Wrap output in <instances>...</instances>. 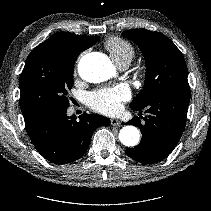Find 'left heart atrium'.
I'll return each mask as SVG.
<instances>
[{"instance_id":"left-heart-atrium-1","label":"left heart atrium","mask_w":211,"mask_h":211,"mask_svg":"<svg viewBox=\"0 0 211 211\" xmlns=\"http://www.w3.org/2000/svg\"><path fill=\"white\" fill-rule=\"evenodd\" d=\"M129 91L123 87L98 90L88 97L89 106L103 114H114L121 109L122 102L129 99Z\"/></svg>"}]
</instances>
